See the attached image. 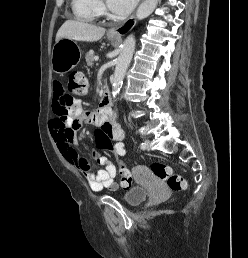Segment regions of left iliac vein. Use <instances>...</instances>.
Returning a JSON list of instances; mask_svg holds the SVG:
<instances>
[{
	"label": "left iliac vein",
	"instance_id": "obj_1",
	"mask_svg": "<svg viewBox=\"0 0 248 258\" xmlns=\"http://www.w3.org/2000/svg\"><path fill=\"white\" fill-rule=\"evenodd\" d=\"M144 144H145V148L144 149L150 150V141L149 140H145Z\"/></svg>",
	"mask_w": 248,
	"mask_h": 258
}]
</instances>
